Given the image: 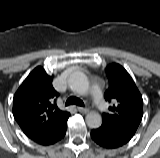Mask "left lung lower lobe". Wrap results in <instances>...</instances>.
<instances>
[{
  "mask_svg": "<svg viewBox=\"0 0 160 158\" xmlns=\"http://www.w3.org/2000/svg\"><path fill=\"white\" fill-rule=\"evenodd\" d=\"M91 137L94 142L102 147L115 148L124 145L133 136L102 123L99 128L91 131Z\"/></svg>",
  "mask_w": 160,
  "mask_h": 158,
  "instance_id": "0a47b994",
  "label": "left lung lower lobe"
}]
</instances>
